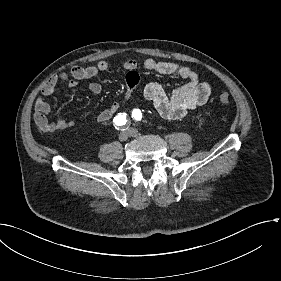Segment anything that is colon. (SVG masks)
Returning a JSON list of instances; mask_svg holds the SVG:
<instances>
[{
  "label": "colon",
  "mask_w": 281,
  "mask_h": 281,
  "mask_svg": "<svg viewBox=\"0 0 281 281\" xmlns=\"http://www.w3.org/2000/svg\"><path fill=\"white\" fill-rule=\"evenodd\" d=\"M218 101L221 104H228L230 102V97L227 94H221L218 97Z\"/></svg>",
  "instance_id": "5ec220e1"
}]
</instances>
